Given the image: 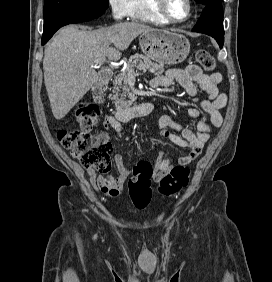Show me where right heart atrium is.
<instances>
[{
    "label": "right heart atrium",
    "instance_id": "obj_1",
    "mask_svg": "<svg viewBox=\"0 0 272 282\" xmlns=\"http://www.w3.org/2000/svg\"><path fill=\"white\" fill-rule=\"evenodd\" d=\"M134 0H107L112 18L121 21L130 18L135 12Z\"/></svg>",
    "mask_w": 272,
    "mask_h": 282
}]
</instances>
